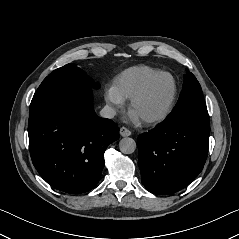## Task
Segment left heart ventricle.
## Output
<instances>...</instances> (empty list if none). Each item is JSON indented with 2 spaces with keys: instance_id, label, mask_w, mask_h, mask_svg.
<instances>
[{
  "instance_id": "b2bd125f",
  "label": "left heart ventricle",
  "mask_w": 239,
  "mask_h": 239,
  "mask_svg": "<svg viewBox=\"0 0 239 239\" xmlns=\"http://www.w3.org/2000/svg\"><path fill=\"white\" fill-rule=\"evenodd\" d=\"M171 94V80L165 76L160 77L151 85L146 94L134 104L131 111L141 119L154 115L166 106Z\"/></svg>"
}]
</instances>
